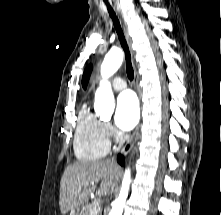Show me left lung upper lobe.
I'll return each instance as SVG.
<instances>
[{
  "label": "left lung upper lobe",
  "instance_id": "left-lung-upper-lobe-1",
  "mask_svg": "<svg viewBox=\"0 0 221 215\" xmlns=\"http://www.w3.org/2000/svg\"><path fill=\"white\" fill-rule=\"evenodd\" d=\"M92 71V65H89L85 68L83 76H82V87L86 89L90 75Z\"/></svg>",
  "mask_w": 221,
  "mask_h": 215
}]
</instances>
